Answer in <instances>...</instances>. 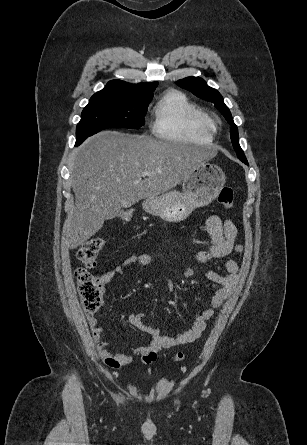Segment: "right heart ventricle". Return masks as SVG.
Wrapping results in <instances>:
<instances>
[{
    "mask_svg": "<svg viewBox=\"0 0 307 445\" xmlns=\"http://www.w3.org/2000/svg\"><path fill=\"white\" fill-rule=\"evenodd\" d=\"M152 132L170 140H208L209 144L213 139L206 114L177 91L166 92L158 101Z\"/></svg>",
    "mask_w": 307,
    "mask_h": 445,
    "instance_id": "e07e8e85",
    "label": "right heart ventricle"
}]
</instances>
